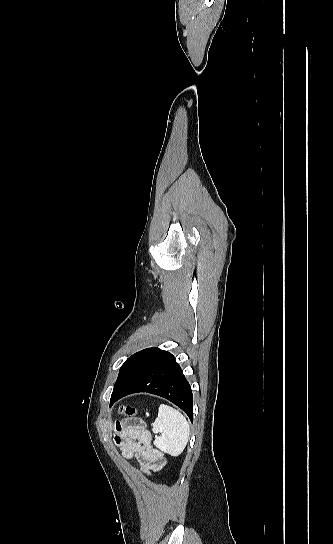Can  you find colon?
Instances as JSON below:
<instances>
[{"instance_id":"obj_1","label":"colon","mask_w":333,"mask_h":544,"mask_svg":"<svg viewBox=\"0 0 333 544\" xmlns=\"http://www.w3.org/2000/svg\"><path fill=\"white\" fill-rule=\"evenodd\" d=\"M118 410L121 415L129 419H133L138 414H140V411L136 407L131 405H121ZM146 414L148 415V413Z\"/></svg>"}]
</instances>
